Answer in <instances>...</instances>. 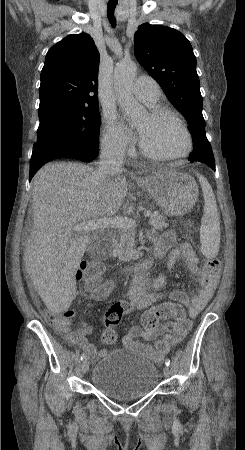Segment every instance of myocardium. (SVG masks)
I'll use <instances>...</instances> for the list:
<instances>
[{
  "instance_id": "myocardium-1",
  "label": "myocardium",
  "mask_w": 245,
  "mask_h": 450,
  "mask_svg": "<svg viewBox=\"0 0 245 450\" xmlns=\"http://www.w3.org/2000/svg\"><path fill=\"white\" fill-rule=\"evenodd\" d=\"M149 116L154 119V120H161L164 118H168L171 119L172 121L176 122L181 129L183 130L186 139H187V147L186 149L177 155H168V156H163V155H158L152 152H149L146 148L143 147V145L140 143V152L141 154L149 159H152L154 161H159V162H169V161H174V160H179V159H183L188 157L194 148V141L191 135V132L189 131L187 125L185 124V122L172 110L170 109H153L151 110Z\"/></svg>"
}]
</instances>
